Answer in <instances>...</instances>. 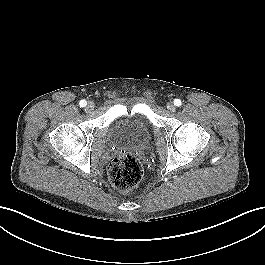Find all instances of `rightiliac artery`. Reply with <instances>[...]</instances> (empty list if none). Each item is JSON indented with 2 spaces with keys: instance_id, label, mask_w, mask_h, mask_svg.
I'll use <instances>...</instances> for the list:
<instances>
[{
  "instance_id": "1",
  "label": "right iliac artery",
  "mask_w": 265,
  "mask_h": 265,
  "mask_svg": "<svg viewBox=\"0 0 265 265\" xmlns=\"http://www.w3.org/2000/svg\"><path fill=\"white\" fill-rule=\"evenodd\" d=\"M79 105H80L81 107H85V106L87 105V102H86L85 100H81V101L79 102Z\"/></svg>"
}]
</instances>
